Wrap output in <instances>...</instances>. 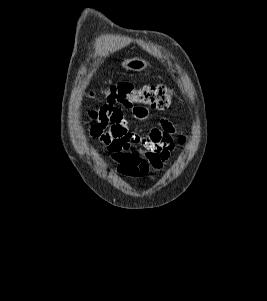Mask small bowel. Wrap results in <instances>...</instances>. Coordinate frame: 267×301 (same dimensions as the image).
<instances>
[{
  "instance_id": "obj_1",
  "label": "small bowel",
  "mask_w": 267,
  "mask_h": 301,
  "mask_svg": "<svg viewBox=\"0 0 267 301\" xmlns=\"http://www.w3.org/2000/svg\"><path fill=\"white\" fill-rule=\"evenodd\" d=\"M134 117L146 121L149 116L145 107H135ZM91 125L89 133L97 138L110 153V160L116 165V173L131 177H151L152 173L163 170L176 142V130L167 119H161L159 127H154L146 135L129 128L121 108L111 102L89 112Z\"/></svg>"
}]
</instances>
